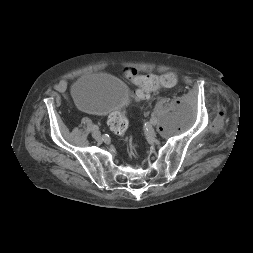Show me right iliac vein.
Masks as SVG:
<instances>
[{
  "label": "right iliac vein",
  "instance_id": "1",
  "mask_svg": "<svg viewBox=\"0 0 253 253\" xmlns=\"http://www.w3.org/2000/svg\"><path fill=\"white\" fill-rule=\"evenodd\" d=\"M92 135H93V137H94L95 139H99V138L101 137V134H100V132H99L98 130H94V131L92 132Z\"/></svg>",
  "mask_w": 253,
  "mask_h": 253
}]
</instances>
